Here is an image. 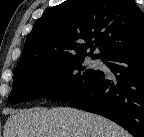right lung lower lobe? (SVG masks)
Masks as SVG:
<instances>
[{"label": "right lung lower lobe", "instance_id": "right-lung-lower-lobe-1", "mask_svg": "<svg viewBox=\"0 0 144 137\" xmlns=\"http://www.w3.org/2000/svg\"><path fill=\"white\" fill-rule=\"evenodd\" d=\"M106 60L113 78L101 71L69 106L104 116L133 136L144 137V44Z\"/></svg>", "mask_w": 144, "mask_h": 137}]
</instances>
